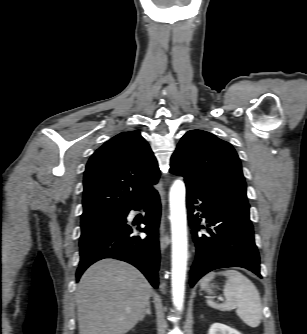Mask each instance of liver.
Segmentation results:
<instances>
[{
	"instance_id": "1",
	"label": "liver",
	"mask_w": 307,
	"mask_h": 334,
	"mask_svg": "<svg viewBox=\"0 0 307 334\" xmlns=\"http://www.w3.org/2000/svg\"><path fill=\"white\" fill-rule=\"evenodd\" d=\"M152 287L134 266L102 259L82 275L76 291L79 334H125L141 320Z\"/></svg>"
}]
</instances>
